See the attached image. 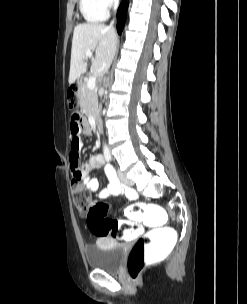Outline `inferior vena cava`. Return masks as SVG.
<instances>
[{"instance_id": "obj_1", "label": "inferior vena cava", "mask_w": 247, "mask_h": 304, "mask_svg": "<svg viewBox=\"0 0 247 304\" xmlns=\"http://www.w3.org/2000/svg\"><path fill=\"white\" fill-rule=\"evenodd\" d=\"M118 4H119V0H114V10L117 9ZM111 24H112V23H111Z\"/></svg>"}]
</instances>
